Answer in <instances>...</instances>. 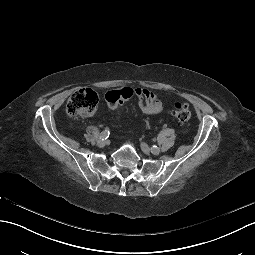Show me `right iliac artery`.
Returning a JSON list of instances; mask_svg holds the SVG:
<instances>
[{"label": "right iliac artery", "instance_id": "obj_1", "mask_svg": "<svg viewBox=\"0 0 255 255\" xmlns=\"http://www.w3.org/2000/svg\"><path fill=\"white\" fill-rule=\"evenodd\" d=\"M110 135L109 129H105L103 132L100 134V139L101 140H106Z\"/></svg>", "mask_w": 255, "mask_h": 255}]
</instances>
